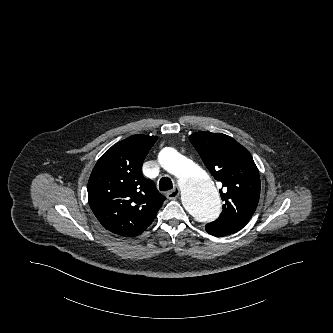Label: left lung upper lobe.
Listing matches in <instances>:
<instances>
[{"mask_svg": "<svg viewBox=\"0 0 333 333\" xmlns=\"http://www.w3.org/2000/svg\"><path fill=\"white\" fill-rule=\"evenodd\" d=\"M205 166L223 188L218 226L240 230L252 217L260 197V177L251 154L232 137L208 131L189 137Z\"/></svg>", "mask_w": 333, "mask_h": 333, "instance_id": "1", "label": "left lung upper lobe"}]
</instances>
